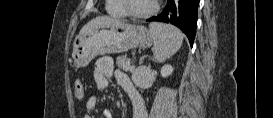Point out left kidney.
<instances>
[{
  "mask_svg": "<svg viewBox=\"0 0 273 118\" xmlns=\"http://www.w3.org/2000/svg\"><path fill=\"white\" fill-rule=\"evenodd\" d=\"M173 70L174 68L171 65L166 64L161 68V76L166 78L173 73Z\"/></svg>",
  "mask_w": 273,
  "mask_h": 118,
  "instance_id": "left-kidney-1",
  "label": "left kidney"
}]
</instances>
